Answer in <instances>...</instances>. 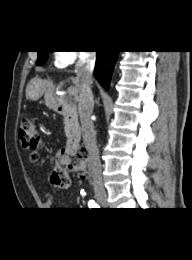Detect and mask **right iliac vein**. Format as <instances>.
Returning a JSON list of instances; mask_svg holds the SVG:
<instances>
[{"label": "right iliac vein", "mask_w": 192, "mask_h": 260, "mask_svg": "<svg viewBox=\"0 0 192 260\" xmlns=\"http://www.w3.org/2000/svg\"><path fill=\"white\" fill-rule=\"evenodd\" d=\"M95 198L101 205L107 206V195L104 191H97L95 193Z\"/></svg>", "instance_id": "obj_1"}]
</instances>
